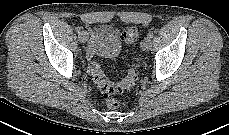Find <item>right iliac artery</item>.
Listing matches in <instances>:
<instances>
[{"label": "right iliac artery", "mask_w": 229, "mask_h": 135, "mask_svg": "<svg viewBox=\"0 0 229 135\" xmlns=\"http://www.w3.org/2000/svg\"><path fill=\"white\" fill-rule=\"evenodd\" d=\"M81 30H82L81 27H78V28H77V32H78V33H81Z\"/></svg>", "instance_id": "obj_1"}]
</instances>
